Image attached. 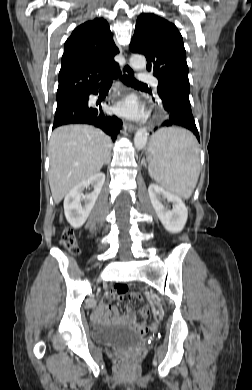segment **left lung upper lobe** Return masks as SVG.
<instances>
[{
    "label": "left lung upper lobe",
    "instance_id": "obj_1",
    "mask_svg": "<svg viewBox=\"0 0 252 390\" xmlns=\"http://www.w3.org/2000/svg\"><path fill=\"white\" fill-rule=\"evenodd\" d=\"M129 47L133 53L146 57L147 70L157 77L158 88L190 92L186 51L174 24L151 13L141 14Z\"/></svg>",
    "mask_w": 252,
    "mask_h": 390
}]
</instances>
